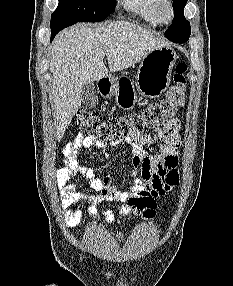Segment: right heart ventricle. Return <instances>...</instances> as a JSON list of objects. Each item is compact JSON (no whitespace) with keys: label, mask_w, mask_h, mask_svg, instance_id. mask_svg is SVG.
<instances>
[{"label":"right heart ventricle","mask_w":233,"mask_h":286,"mask_svg":"<svg viewBox=\"0 0 233 286\" xmlns=\"http://www.w3.org/2000/svg\"><path fill=\"white\" fill-rule=\"evenodd\" d=\"M120 3L127 11L152 26L161 23L156 15V0H120Z\"/></svg>","instance_id":"1"}]
</instances>
